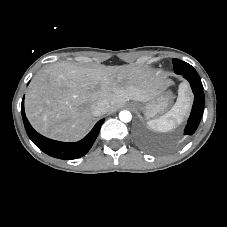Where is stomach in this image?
<instances>
[{
  "label": "stomach",
  "instance_id": "obj_1",
  "mask_svg": "<svg viewBox=\"0 0 227 227\" xmlns=\"http://www.w3.org/2000/svg\"><path fill=\"white\" fill-rule=\"evenodd\" d=\"M172 99V93L170 91H164L157 97L147 102L133 101L130 103V106L137 111L143 112L146 119H150L163 114L168 109Z\"/></svg>",
  "mask_w": 227,
  "mask_h": 227
}]
</instances>
